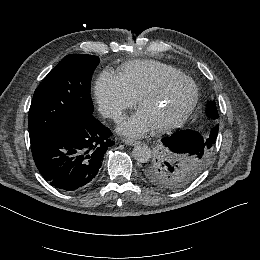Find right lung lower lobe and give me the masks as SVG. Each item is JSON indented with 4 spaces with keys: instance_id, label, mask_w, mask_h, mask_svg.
Wrapping results in <instances>:
<instances>
[{
    "instance_id": "1",
    "label": "right lung lower lobe",
    "mask_w": 260,
    "mask_h": 260,
    "mask_svg": "<svg viewBox=\"0 0 260 260\" xmlns=\"http://www.w3.org/2000/svg\"><path fill=\"white\" fill-rule=\"evenodd\" d=\"M111 131L93 115L31 146L34 162L53 187L67 192L92 184L105 152L115 144Z\"/></svg>"
}]
</instances>
